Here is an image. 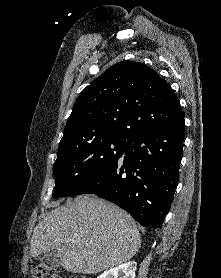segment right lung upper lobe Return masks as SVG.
I'll return each instance as SVG.
<instances>
[{
    "mask_svg": "<svg viewBox=\"0 0 221 278\" xmlns=\"http://www.w3.org/2000/svg\"><path fill=\"white\" fill-rule=\"evenodd\" d=\"M182 118L177 96L156 71L142 63L122 61L79 95L59 152L94 138L129 139Z\"/></svg>",
    "mask_w": 221,
    "mask_h": 278,
    "instance_id": "1",
    "label": "right lung upper lobe"
}]
</instances>
